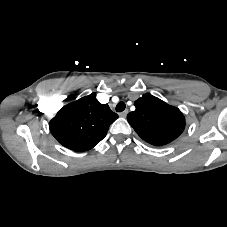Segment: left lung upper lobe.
Returning a JSON list of instances; mask_svg holds the SVG:
<instances>
[{"label": "left lung upper lobe", "mask_w": 227, "mask_h": 227, "mask_svg": "<svg viewBox=\"0 0 227 227\" xmlns=\"http://www.w3.org/2000/svg\"><path fill=\"white\" fill-rule=\"evenodd\" d=\"M136 109L127 120L146 142L162 146L175 140L185 128L182 112L159 98L145 94L134 103Z\"/></svg>", "instance_id": "left-lung-upper-lobe-1"}]
</instances>
